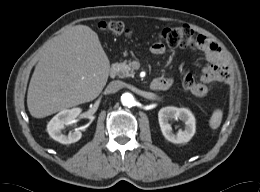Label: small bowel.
<instances>
[{"label":"small bowel","instance_id":"1","mask_svg":"<svg viewBox=\"0 0 260 192\" xmlns=\"http://www.w3.org/2000/svg\"><path fill=\"white\" fill-rule=\"evenodd\" d=\"M199 38V48L205 53L208 66L202 71L199 77L201 82H196V90L192 91V93L203 97L208 94L211 84L215 82H227L229 80V73L218 46L205 36L201 35ZM165 50V46L160 42H156L150 47V51L154 55H161ZM159 79L165 83V89L169 88L173 83V78L170 76H164Z\"/></svg>","mask_w":260,"mask_h":192}]
</instances>
